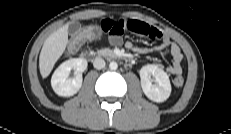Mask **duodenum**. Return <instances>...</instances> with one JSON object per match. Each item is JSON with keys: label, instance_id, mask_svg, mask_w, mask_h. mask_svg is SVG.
Listing matches in <instances>:
<instances>
[{"label": "duodenum", "instance_id": "obj_1", "mask_svg": "<svg viewBox=\"0 0 231 134\" xmlns=\"http://www.w3.org/2000/svg\"><path fill=\"white\" fill-rule=\"evenodd\" d=\"M107 56H109L112 59L123 60V61H125L126 64L131 63V58L126 56V55H123L121 53L109 52V53H107ZM83 57L85 59H94V57L91 54L87 53V52L83 54Z\"/></svg>", "mask_w": 231, "mask_h": 134}]
</instances>
